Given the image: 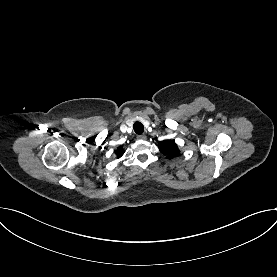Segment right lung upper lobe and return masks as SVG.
<instances>
[{
    "label": "right lung upper lobe",
    "mask_w": 277,
    "mask_h": 277,
    "mask_svg": "<svg viewBox=\"0 0 277 277\" xmlns=\"http://www.w3.org/2000/svg\"><path fill=\"white\" fill-rule=\"evenodd\" d=\"M124 154L122 147H119L116 151L117 158H120Z\"/></svg>",
    "instance_id": "cb5924a9"
}]
</instances>
